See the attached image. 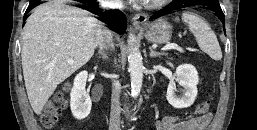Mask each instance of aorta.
<instances>
[{
    "label": "aorta",
    "instance_id": "1",
    "mask_svg": "<svg viewBox=\"0 0 257 130\" xmlns=\"http://www.w3.org/2000/svg\"><path fill=\"white\" fill-rule=\"evenodd\" d=\"M135 36L133 33L129 34L128 44L130 46L128 53L129 73L131 77V91L133 96H137L142 88L143 82V62L142 55L139 49L134 46Z\"/></svg>",
    "mask_w": 257,
    "mask_h": 130
}]
</instances>
